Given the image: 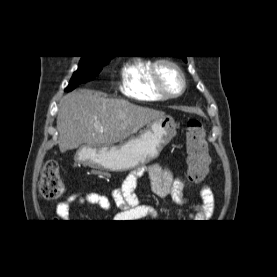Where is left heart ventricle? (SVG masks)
<instances>
[{
	"mask_svg": "<svg viewBox=\"0 0 277 277\" xmlns=\"http://www.w3.org/2000/svg\"><path fill=\"white\" fill-rule=\"evenodd\" d=\"M159 74L162 84L167 91L171 93L179 91L181 87V80L172 67L168 65H161L159 68Z\"/></svg>",
	"mask_w": 277,
	"mask_h": 277,
	"instance_id": "b2bd125f",
	"label": "left heart ventricle"
}]
</instances>
